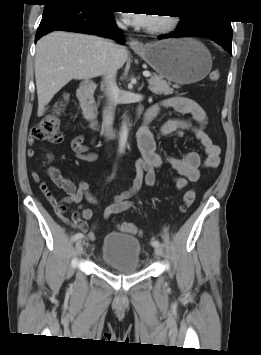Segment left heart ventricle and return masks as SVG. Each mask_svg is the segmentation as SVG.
<instances>
[{
	"label": "left heart ventricle",
	"instance_id": "obj_1",
	"mask_svg": "<svg viewBox=\"0 0 261 355\" xmlns=\"http://www.w3.org/2000/svg\"><path fill=\"white\" fill-rule=\"evenodd\" d=\"M162 16H158L157 18L154 19L153 23L151 24V27L155 26L159 21Z\"/></svg>",
	"mask_w": 261,
	"mask_h": 355
}]
</instances>
